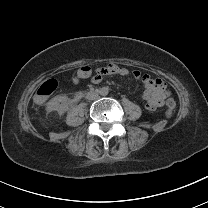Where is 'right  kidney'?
<instances>
[{
    "instance_id": "right-kidney-1",
    "label": "right kidney",
    "mask_w": 208,
    "mask_h": 208,
    "mask_svg": "<svg viewBox=\"0 0 208 208\" xmlns=\"http://www.w3.org/2000/svg\"><path fill=\"white\" fill-rule=\"evenodd\" d=\"M48 108L64 113L68 109V97L55 96L48 102Z\"/></svg>"
}]
</instances>
